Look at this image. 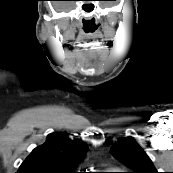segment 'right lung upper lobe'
Masks as SVG:
<instances>
[{"instance_id":"cb5924a9","label":"right lung upper lobe","mask_w":173,"mask_h":173,"mask_svg":"<svg viewBox=\"0 0 173 173\" xmlns=\"http://www.w3.org/2000/svg\"><path fill=\"white\" fill-rule=\"evenodd\" d=\"M87 147L61 133H51L36 147L16 173H75Z\"/></svg>"}]
</instances>
